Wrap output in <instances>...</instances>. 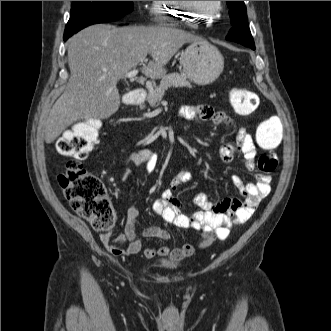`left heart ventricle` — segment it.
<instances>
[{
    "instance_id": "1",
    "label": "left heart ventricle",
    "mask_w": 331,
    "mask_h": 331,
    "mask_svg": "<svg viewBox=\"0 0 331 331\" xmlns=\"http://www.w3.org/2000/svg\"><path fill=\"white\" fill-rule=\"evenodd\" d=\"M195 4L204 12L210 13L215 10L216 1H194Z\"/></svg>"
}]
</instances>
